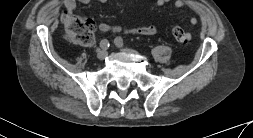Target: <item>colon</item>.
Segmentation results:
<instances>
[{"label":"colon","instance_id":"obj_1","mask_svg":"<svg viewBox=\"0 0 253 138\" xmlns=\"http://www.w3.org/2000/svg\"><path fill=\"white\" fill-rule=\"evenodd\" d=\"M63 24L66 37L71 42L83 46L94 42L95 25L92 21L67 14L63 17ZM172 35L180 43H188L191 39V35L178 25L172 27Z\"/></svg>","mask_w":253,"mask_h":138}]
</instances>
